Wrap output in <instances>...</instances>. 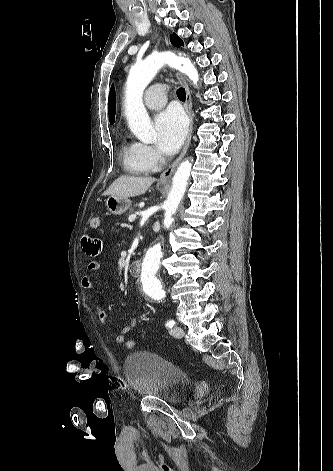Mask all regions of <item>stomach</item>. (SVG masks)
<instances>
[{
    "label": "stomach",
    "mask_w": 333,
    "mask_h": 471,
    "mask_svg": "<svg viewBox=\"0 0 333 471\" xmlns=\"http://www.w3.org/2000/svg\"><path fill=\"white\" fill-rule=\"evenodd\" d=\"M106 206L110 213L121 215L131 206V201L127 197H116L110 195L106 200Z\"/></svg>",
    "instance_id": "1"
}]
</instances>
